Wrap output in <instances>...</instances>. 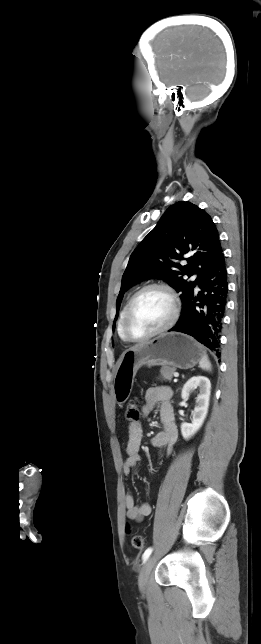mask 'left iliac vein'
<instances>
[{
  "label": "left iliac vein",
  "instance_id": "left-iliac-vein-1",
  "mask_svg": "<svg viewBox=\"0 0 261 644\" xmlns=\"http://www.w3.org/2000/svg\"><path fill=\"white\" fill-rule=\"evenodd\" d=\"M154 565H155V557L154 556H151L145 562V564L143 565V567L141 569V572H140V575H139V579H138V584H139V588H140L141 591L146 590L147 585H148V581H149V576H150V573H151Z\"/></svg>",
  "mask_w": 261,
  "mask_h": 644
}]
</instances>
